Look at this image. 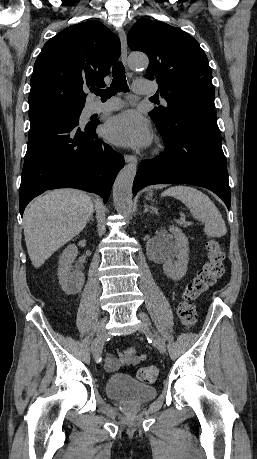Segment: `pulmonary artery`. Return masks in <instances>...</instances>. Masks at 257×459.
<instances>
[{"label":"pulmonary artery","instance_id":"1","mask_svg":"<svg viewBox=\"0 0 257 459\" xmlns=\"http://www.w3.org/2000/svg\"><path fill=\"white\" fill-rule=\"evenodd\" d=\"M147 82L145 80H136L134 81V91L137 94H150L154 90L146 84ZM165 103V101L163 100ZM122 107V102L119 99H113L110 100L106 103H100V102H91L88 107H87V112L88 114H94V113H103V112H109L113 111L116 109H119Z\"/></svg>","mask_w":257,"mask_h":459}]
</instances>
